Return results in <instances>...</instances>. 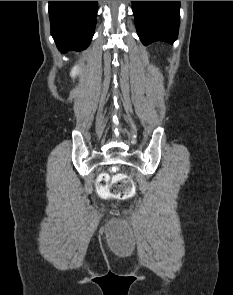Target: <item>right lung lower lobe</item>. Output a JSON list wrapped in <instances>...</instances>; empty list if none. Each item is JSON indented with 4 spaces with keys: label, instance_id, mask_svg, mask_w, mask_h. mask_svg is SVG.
<instances>
[{
    "label": "right lung lower lobe",
    "instance_id": "1",
    "mask_svg": "<svg viewBox=\"0 0 233 295\" xmlns=\"http://www.w3.org/2000/svg\"><path fill=\"white\" fill-rule=\"evenodd\" d=\"M97 1H49L51 35L60 52L88 47L96 25Z\"/></svg>",
    "mask_w": 233,
    "mask_h": 295
}]
</instances>
